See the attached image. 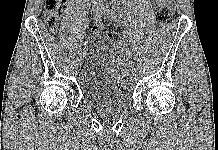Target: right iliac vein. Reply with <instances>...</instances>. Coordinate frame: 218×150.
Instances as JSON below:
<instances>
[{
  "label": "right iliac vein",
  "mask_w": 218,
  "mask_h": 150,
  "mask_svg": "<svg viewBox=\"0 0 218 150\" xmlns=\"http://www.w3.org/2000/svg\"><path fill=\"white\" fill-rule=\"evenodd\" d=\"M96 14H97V15H101V14H102L101 7L97 6V7H95V8L93 9V15H96ZM79 55H80V59H79L78 64L80 65L81 62H82L81 58H82V56H83L84 54L81 52Z\"/></svg>",
  "instance_id": "1"
}]
</instances>
